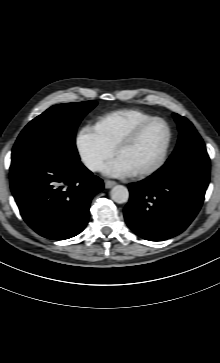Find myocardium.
I'll return each instance as SVG.
<instances>
[{"instance_id": "1", "label": "myocardium", "mask_w": 220, "mask_h": 363, "mask_svg": "<svg viewBox=\"0 0 220 363\" xmlns=\"http://www.w3.org/2000/svg\"><path fill=\"white\" fill-rule=\"evenodd\" d=\"M154 123H162L167 130V140L159 159L150 167L133 173L135 177H146L159 171L165 164L173 140V132L170 124L161 117H152L131 129L114 146V154L117 155L122 149L131 145L148 126Z\"/></svg>"}]
</instances>
